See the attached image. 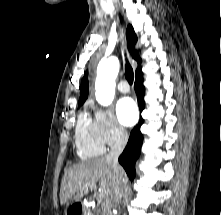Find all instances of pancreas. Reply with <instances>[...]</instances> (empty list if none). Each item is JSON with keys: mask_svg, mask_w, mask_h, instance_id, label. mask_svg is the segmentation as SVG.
<instances>
[{"mask_svg": "<svg viewBox=\"0 0 221 215\" xmlns=\"http://www.w3.org/2000/svg\"><path fill=\"white\" fill-rule=\"evenodd\" d=\"M88 215H94V213L92 212V213H90V214H88Z\"/></svg>", "mask_w": 221, "mask_h": 215, "instance_id": "cf45deb5", "label": "pancreas"}]
</instances>
